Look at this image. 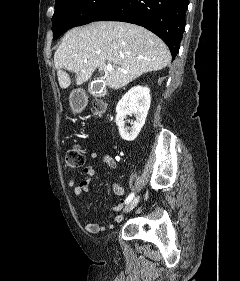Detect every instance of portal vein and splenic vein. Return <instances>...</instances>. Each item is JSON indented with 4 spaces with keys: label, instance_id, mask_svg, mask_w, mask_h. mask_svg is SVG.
I'll list each match as a JSON object with an SVG mask.
<instances>
[{
    "label": "portal vein and splenic vein",
    "instance_id": "obj_1",
    "mask_svg": "<svg viewBox=\"0 0 240 281\" xmlns=\"http://www.w3.org/2000/svg\"><path fill=\"white\" fill-rule=\"evenodd\" d=\"M84 62H87V60H84ZM105 70H106L107 72H110V71L113 70V66H112L111 64H108V65H106Z\"/></svg>",
    "mask_w": 240,
    "mask_h": 281
}]
</instances>
